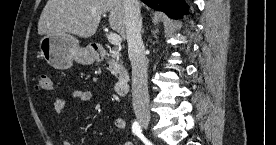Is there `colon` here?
I'll use <instances>...</instances> for the list:
<instances>
[{"instance_id": "obj_1", "label": "colon", "mask_w": 276, "mask_h": 145, "mask_svg": "<svg viewBox=\"0 0 276 145\" xmlns=\"http://www.w3.org/2000/svg\"><path fill=\"white\" fill-rule=\"evenodd\" d=\"M52 81L48 73H39L35 83V89L37 91H50L52 89Z\"/></svg>"}]
</instances>
